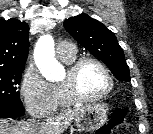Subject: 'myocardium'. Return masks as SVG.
Instances as JSON below:
<instances>
[{"instance_id":"f54148a6","label":"myocardium","mask_w":153,"mask_h":134,"mask_svg":"<svg viewBox=\"0 0 153 134\" xmlns=\"http://www.w3.org/2000/svg\"><path fill=\"white\" fill-rule=\"evenodd\" d=\"M88 63H93L99 66L107 76L109 82L108 87L105 91L94 96H86L81 94L80 91L78 90V85H77L79 72L81 68ZM60 86L65 97L71 103H87V102L99 101L105 98L106 96H108L114 89L115 79L110 69L100 59L95 57H82L75 60L72 64L68 66L66 72V78L60 82Z\"/></svg>"}]
</instances>
